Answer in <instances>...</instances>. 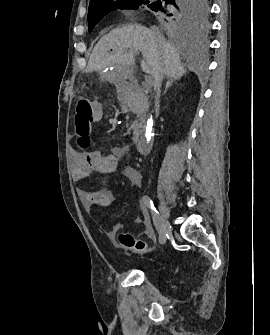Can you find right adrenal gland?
Returning a JSON list of instances; mask_svg holds the SVG:
<instances>
[{
	"label": "right adrenal gland",
	"mask_w": 270,
	"mask_h": 335,
	"mask_svg": "<svg viewBox=\"0 0 270 335\" xmlns=\"http://www.w3.org/2000/svg\"><path fill=\"white\" fill-rule=\"evenodd\" d=\"M166 80L167 82L165 84V90L163 94H166L168 88H171V86H173V82H176L177 78H169V76H167Z\"/></svg>",
	"instance_id": "right-adrenal-gland-1"
}]
</instances>
